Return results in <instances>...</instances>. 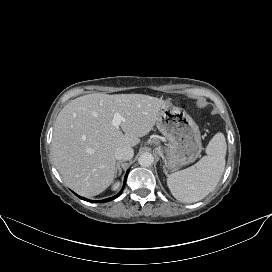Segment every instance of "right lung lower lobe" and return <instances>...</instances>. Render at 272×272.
Instances as JSON below:
<instances>
[{
	"instance_id": "obj_1",
	"label": "right lung lower lobe",
	"mask_w": 272,
	"mask_h": 272,
	"mask_svg": "<svg viewBox=\"0 0 272 272\" xmlns=\"http://www.w3.org/2000/svg\"><path fill=\"white\" fill-rule=\"evenodd\" d=\"M128 173H129V170L127 171V173H126V175H125L124 184H123L122 190L124 189V186H125V183H126V179H127ZM122 190H121L117 195H115V196H113V197H110V198H107V199H104V200H101V201H92V200L85 199V198H81V197H79V198H81V199H83V200H86V201H90V202H98V203L101 202V203H104V202H108V201H111V200L116 199L117 197H119L120 194L122 193Z\"/></svg>"
}]
</instances>
